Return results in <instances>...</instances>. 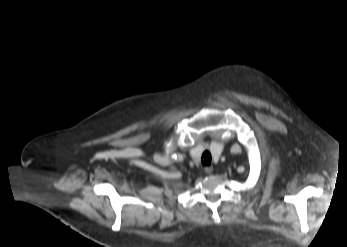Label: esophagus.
I'll list each match as a JSON object with an SVG mask.
<instances>
[{
	"label": "esophagus",
	"mask_w": 347,
	"mask_h": 247,
	"mask_svg": "<svg viewBox=\"0 0 347 247\" xmlns=\"http://www.w3.org/2000/svg\"><path fill=\"white\" fill-rule=\"evenodd\" d=\"M204 171L207 173V174H211L213 172V167L212 166H206L204 168Z\"/></svg>",
	"instance_id": "esophagus-1"
}]
</instances>
